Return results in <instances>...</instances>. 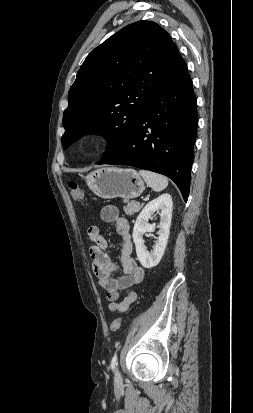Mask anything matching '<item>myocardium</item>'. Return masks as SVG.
I'll return each instance as SVG.
<instances>
[{"instance_id": "myocardium-1", "label": "myocardium", "mask_w": 253, "mask_h": 413, "mask_svg": "<svg viewBox=\"0 0 253 413\" xmlns=\"http://www.w3.org/2000/svg\"><path fill=\"white\" fill-rule=\"evenodd\" d=\"M104 139V135L101 133H90L83 138L82 145L87 150H96L103 144Z\"/></svg>"}]
</instances>
